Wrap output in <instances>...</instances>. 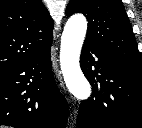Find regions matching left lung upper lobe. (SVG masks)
Listing matches in <instances>:
<instances>
[{
	"mask_svg": "<svg viewBox=\"0 0 142 128\" xmlns=\"http://www.w3.org/2000/svg\"><path fill=\"white\" fill-rule=\"evenodd\" d=\"M88 20L85 42L107 51L119 62L142 67L135 36L121 0H70L66 15Z\"/></svg>",
	"mask_w": 142,
	"mask_h": 128,
	"instance_id": "left-lung-upper-lobe-1",
	"label": "left lung upper lobe"
}]
</instances>
